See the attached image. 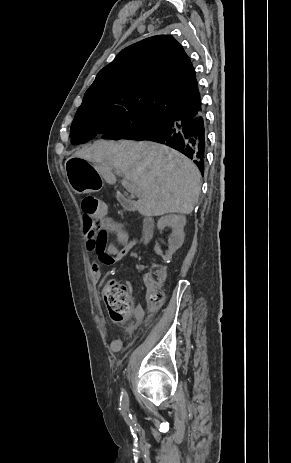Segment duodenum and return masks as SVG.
Returning a JSON list of instances; mask_svg holds the SVG:
<instances>
[{
  "instance_id": "obj_1",
  "label": "duodenum",
  "mask_w": 291,
  "mask_h": 463,
  "mask_svg": "<svg viewBox=\"0 0 291 463\" xmlns=\"http://www.w3.org/2000/svg\"><path fill=\"white\" fill-rule=\"evenodd\" d=\"M116 197L122 207L127 210H136L137 206L133 204V201L129 198V196L123 192H117ZM154 227L155 222L152 218L146 217L143 221L142 227V242L147 243L151 240L154 234Z\"/></svg>"
}]
</instances>
